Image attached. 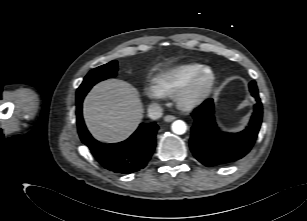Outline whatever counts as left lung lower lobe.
I'll list each match as a JSON object with an SVG mask.
<instances>
[{
  "mask_svg": "<svg viewBox=\"0 0 307 221\" xmlns=\"http://www.w3.org/2000/svg\"><path fill=\"white\" fill-rule=\"evenodd\" d=\"M249 87L257 103L249 126L240 133L228 134L218 130L212 99L206 100L192 113L195 121L189 144L194 157L205 166L235 162L244 157L254 145L262 122V103L255 81Z\"/></svg>",
  "mask_w": 307,
  "mask_h": 221,
  "instance_id": "obj_1",
  "label": "left lung lower lobe"
}]
</instances>
